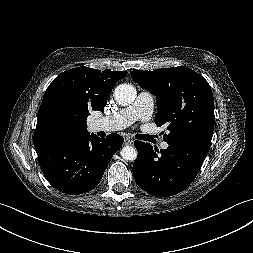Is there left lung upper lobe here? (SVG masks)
Here are the masks:
<instances>
[{
  "label": "left lung upper lobe",
  "mask_w": 253,
  "mask_h": 253,
  "mask_svg": "<svg viewBox=\"0 0 253 253\" xmlns=\"http://www.w3.org/2000/svg\"><path fill=\"white\" fill-rule=\"evenodd\" d=\"M132 78L156 96L157 126L167 125L163 140L178 144L191 140L211 143L214 100L208 82L185 66L132 71Z\"/></svg>",
  "instance_id": "left-lung-upper-lobe-1"
}]
</instances>
